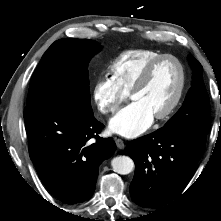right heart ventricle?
I'll use <instances>...</instances> for the list:
<instances>
[{"mask_svg": "<svg viewBox=\"0 0 221 221\" xmlns=\"http://www.w3.org/2000/svg\"><path fill=\"white\" fill-rule=\"evenodd\" d=\"M163 53L151 49H131L119 54L109 65L111 80L128 94L143 69Z\"/></svg>", "mask_w": 221, "mask_h": 221, "instance_id": "e07e8e85", "label": "right heart ventricle"}]
</instances>
